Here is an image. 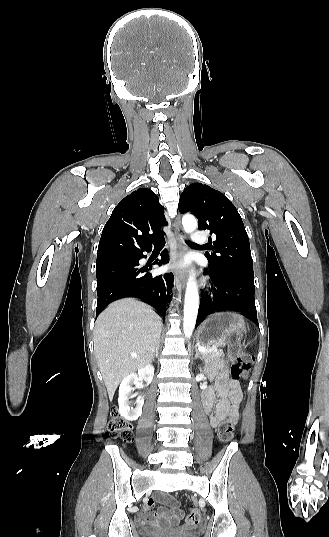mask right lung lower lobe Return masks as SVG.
<instances>
[{
    "label": "right lung lower lobe",
    "mask_w": 329,
    "mask_h": 537,
    "mask_svg": "<svg viewBox=\"0 0 329 537\" xmlns=\"http://www.w3.org/2000/svg\"><path fill=\"white\" fill-rule=\"evenodd\" d=\"M146 250V251H150ZM146 256L142 253L118 259L98 261L96 317L112 301L124 297L140 298L154 306L161 317L165 316L166 303L171 297L173 275L165 273L153 277L147 267H139V260ZM169 261L167 251L154 264L161 266Z\"/></svg>",
    "instance_id": "98d812e1"
}]
</instances>
